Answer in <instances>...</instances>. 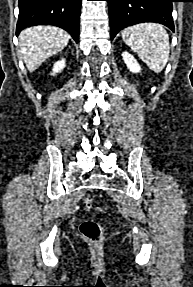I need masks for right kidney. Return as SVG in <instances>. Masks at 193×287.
Wrapping results in <instances>:
<instances>
[{"label":"right kidney","instance_id":"obj_1","mask_svg":"<svg viewBox=\"0 0 193 287\" xmlns=\"http://www.w3.org/2000/svg\"><path fill=\"white\" fill-rule=\"evenodd\" d=\"M64 67H65V59L57 61L53 66L52 75H55L56 73L60 72Z\"/></svg>","mask_w":193,"mask_h":287}]
</instances>
